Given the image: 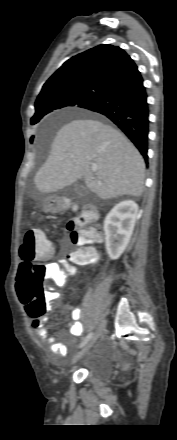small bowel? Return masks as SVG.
Wrapping results in <instances>:
<instances>
[{
  "label": "small bowel",
  "mask_w": 177,
  "mask_h": 440,
  "mask_svg": "<svg viewBox=\"0 0 177 440\" xmlns=\"http://www.w3.org/2000/svg\"><path fill=\"white\" fill-rule=\"evenodd\" d=\"M50 256L51 255H49L48 257ZM48 265L50 267V273H51L50 280H52L56 284H64L67 277L62 273V267L66 265L65 262L62 261L50 262ZM48 298L51 301L55 302L60 298V296L57 292L51 291L48 293ZM56 308L57 305L54 303L49 307L50 310H54ZM81 317H82V308L80 307L73 308L71 312V319L67 323V326L71 335L75 338L80 337L83 334V325L80 322ZM46 321H47L46 317H33L32 328L42 341L47 342L49 344L50 351L55 357L57 358L64 357L67 352V347L62 343L56 342L55 338L52 335H50L47 329L44 328V324L46 323Z\"/></svg>",
  "instance_id": "c3829d8e"
}]
</instances>
